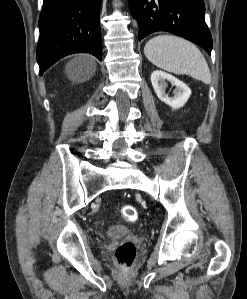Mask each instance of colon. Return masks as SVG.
<instances>
[{
    "mask_svg": "<svg viewBox=\"0 0 247 299\" xmlns=\"http://www.w3.org/2000/svg\"><path fill=\"white\" fill-rule=\"evenodd\" d=\"M122 217L129 222H133L137 219V210L132 205H125L121 209ZM136 256V245L132 241L122 242L115 251V258L117 263L128 269L132 266Z\"/></svg>",
    "mask_w": 247,
    "mask_h": 299,
    "instance_id": "colon-1",
    "label": "colon"
}]
</instances>
